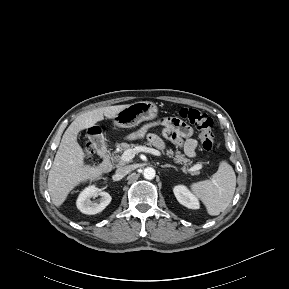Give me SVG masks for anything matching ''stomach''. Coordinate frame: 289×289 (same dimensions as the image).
<instances>
[{"label":"stomach","instance_id":"0dacf381","mask_svg":"<svg viewBox=\"0 0 289 289\" xmlns=\"http://www.w3.org/2000/svg\"><path fill=\"white\" fill-rule=\"evenodd\" d=\"M158 108L150 101H139L129 104L114 118V125L121 128H131L143 121L153 120L157 117Z\"/></svg>","mask_w":289,"mask_h":289}]
</instances>
